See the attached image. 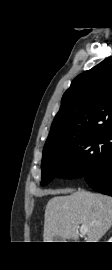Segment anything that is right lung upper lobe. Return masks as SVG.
<instances>
[{
    "instance_id": "cb5924a9",
    "label": "right lung upper lobe",
    "mask_w": 112,
    "mask_h": 270,
    "mask_svg": "<svg viewBox=\"0 0 112 270\" xmlns=\"http://www.w3.org/2000/svg\"><path fill=\"white\" fill-rule=\"evenodd\" d=\"M107 125H112V56L74 78L44 148Z\"/></svg>"
}]
</instances>
